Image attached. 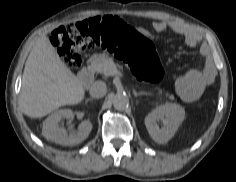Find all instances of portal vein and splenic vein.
Here are the masks:
<instances>
[{"label":"portal vein and splenic vein","instance_id":"18ae733b","mask_svg":"<svg viewBox=\"0 0 236 182\" xmlns=\"http://www.w3.org/2000/svg\"><path fill=\"white\" fill-rule=\"evenodd\" d=\"M114 74H118L117 70L114 71Z\"/></svg>","mask_w":236,"mask_h":182}]
</instances>
